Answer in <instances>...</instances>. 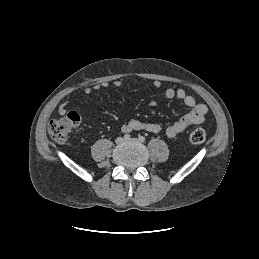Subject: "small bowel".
<instances>
[{
  "label": "small bowel",
  "mask_w": 259,
  "mask_h": 259,
  "mask_svg": "<svg viewBox=\"0 0 259 259\" xmlns=\"http://www.w3.org/2000/svg\"><path fill=\"white\" fill-rule=\"evenodd\" d=\"M110 85L109 82H101L94 86V89L106 88ZM112 85L115 87H121L122 82L120 80L112 81ZM162 86L161 81L155 80L153 82V87L159 89ZM92 92V88L86 87L84 89V94L89 95ZM164 98L167 100L177 99L181 101L185 106L189 108V111L182 116L176 122L169 124L167 126H163L160 123H145L137 119H132L128 123L122 126L123 132H132V131H139L144 130L151 133H159L162 130L165 131V134L169 138H174L178 134L184 132L185 130L189 129L194 125L201 124L204 119L205 115L208 111V108L205 104L197 103L195 98L186 93V91L182 88L173 89L168 88L164 92ZM157 101L152 100L150 102V106H156ZM58 111L61 115H64L67 111V104L62 103Z\"/></svg>",
  "instance_id": "1"
}]
</instances>
